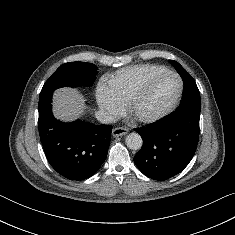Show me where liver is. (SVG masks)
<instances>
[{"mask_svg":"<svg viewBox=\"0 0 235 235\" xmlns=\"http://www.w3.org/2000/svg\"><path fill=\"white\" fill-rule=\"evenodd\" d=\"M83 96L77 89L61 88L54 92L53 113L57 119L70 122L84 112Z\"/></svg>","mask_w":235,"mask_h":235,"instance_id":"obj_1","label":"liver"}]
</instances>
